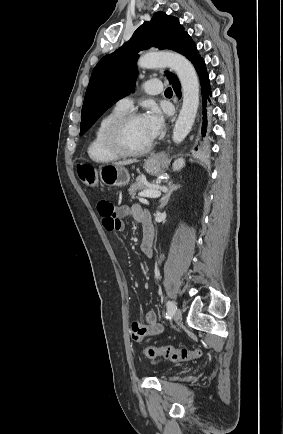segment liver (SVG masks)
Instances as JSON below:
<instances>
[{
	"mask_svg": "<svg viewBox=\"0 0 283 434\" xmlns=\"http://www.w3.org/2000/svg\"><path fill=\"white\" fill-rule=\"evenodd\" d=\"M137 162L136 160H126V161H119V162H115L114 165L117 166H124V165H130L132 163Z\"/></svg>",
	"mask_w": 283,
	"mask_h": 434,
	"instance_id": "6515ba94",
	"label": "liver"
}]
</instances>
